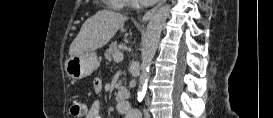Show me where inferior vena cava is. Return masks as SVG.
I'll use <instances>...</instances> for the list:
<instances>
[{
    "instance_id": "602c4592",
    "label": "inferior vena cava",
    "mask_w": 273,
    "mask_h": 118,
    "mask_svg": "<svg viewBox=\"0 0 273 118\" xmlns=\"http://www.w3.org/2000/svg\"><path fill=\"white\" fill-rule=\"evenodd\" d=\"M144 113H145L146 116H148V112L146 110H144Z\"/></svg>"
}]
</instances>
